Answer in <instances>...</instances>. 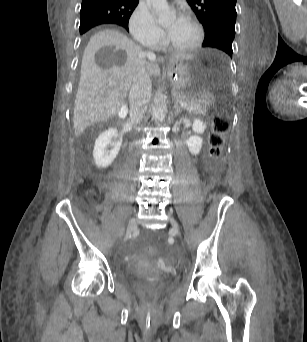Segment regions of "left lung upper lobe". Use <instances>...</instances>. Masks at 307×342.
<instances>
[{
  "label": "left lung upper lobe",
  "instance_id": "obj_1",
  "mask_svg": "<svg viewBox=\"0 0 307 342\" xmlns=\"http://www.w3.org/2000/svg\"><path fill=\"white\" fill-rule=\"evenodd\" d=\"M237 0H187L205 30L202 47L217 48L232 57Z\"/></svg>",
  "mask_w": 307,
  "mask_h": 342
}]
</instances>
